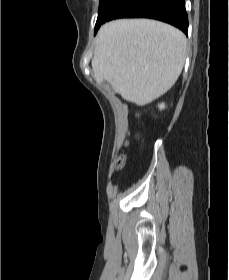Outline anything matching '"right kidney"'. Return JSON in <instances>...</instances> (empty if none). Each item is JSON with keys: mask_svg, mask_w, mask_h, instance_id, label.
Instances as JSON below:
<instances>
[{"mask_svg": "<svg viewBox=\"0 0 229 280\" xmlns=\"http://www.w3.org/2000/svg\"><path fill=\"white\" fill-rule=\"evenodd\" d=\"M159 109L162 110L165 108V104L164 103H161L160 105H158Z\"/></svg>", "mask_w": 229, "mask_h": 280, "instance_id": "obj_1", "label": "right kidney"}]
</instances>
